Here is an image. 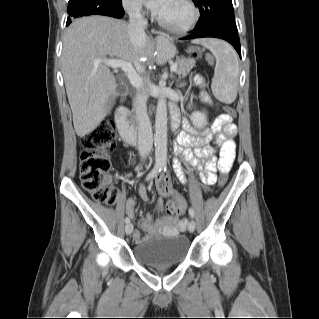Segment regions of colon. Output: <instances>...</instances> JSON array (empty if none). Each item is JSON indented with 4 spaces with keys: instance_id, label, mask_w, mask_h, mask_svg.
Wrapping results in <instances>:
<instances>
[{
    "instance_id": "1",
    "label": "colon",
    "mask_w": 319,
    "mask_h": 319,
    "mask_svg": "<svg viewBox=\"0 0 319 319\" xmlns=\"http://www.w3.org/2000/svg\"><path fill=\"white\" fill-rule=\"evenodd\" d=\"M190 56H196L198 50L188 48ZM223 110L234 115L232 107L224 106ZM82 152L80 157V179L84 189L98 202L114 205L119 199L117 191L110 184L109 172L111 162L109 153L116 146V126L113 122L101 123L96 129L82 137ZM227 181L226 173H221L218 178L219 186L225 185ZM168 181L160 182L159 189L169 188ZM182 204L169 200L167 215L178 217L182 214Z\"/></svg>"
}]
</instances>
